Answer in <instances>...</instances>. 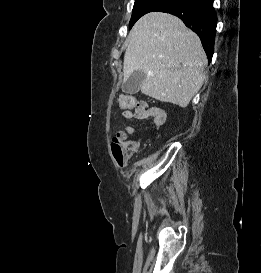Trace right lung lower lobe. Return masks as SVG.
Returning a JSON list of instances; mask_svg holds the SVG:
<instances>
[{"instance_id": "right-lung-lower-lobe-1", "label": "right lung lower lobe", "mask_w": 261, "mask_h": 273, "mask_svg": "<svg viewBox=\"0 0 261 273\" xmlns=\"http://www.w3.org/2000/svg\"><path fill=\"white\" fill-rule=\"evenodd\" d=\"M161 12L179 17L200 37L210 62L214 52L217 24L213 0H166Z\"/></svg>"}]
</instances>
